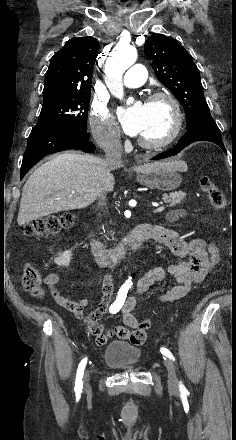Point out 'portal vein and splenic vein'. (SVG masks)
<instances>
[{"mask_svg":"<svg viewBox=\"0 0 236 440\" xmlns=\"http://www.w3.org/2000/svg\"><path fill=\"white\" fill-rule=\"evenodd\" d=\"M164 209H165L164 206L156 207V208L153 210V212H154V213H159V212H162Z\"/></svg>","mask_w":236,"mask_h":440,"instance_id":"portal-vein-and-splenic-vein-1","label":"portal vein and splenic vein"}]
</instances>
